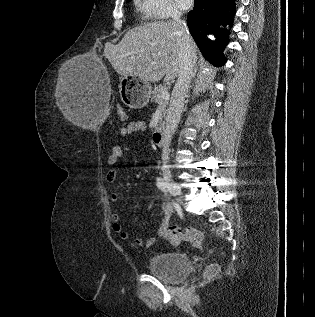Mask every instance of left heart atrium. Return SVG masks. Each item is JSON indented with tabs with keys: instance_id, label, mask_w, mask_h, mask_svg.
Masks as SVG:
<instances>
[{
	"instance_id": "left-heart-atrium-1",
	"label": "left heart atrium",
	"mask_w": 315,
	"mask_h": 317,
	"mask_svg": "<svg viewBox=\"0 0 315 317\" xmlns=\"http://www.w3.org/2000/svg\"><path fill=\"white\" fill-rule=\"evenodd\" d=\"M194 0H175L177 6L183 10L190 8Z\"/></svg>"
}]
</instances>
